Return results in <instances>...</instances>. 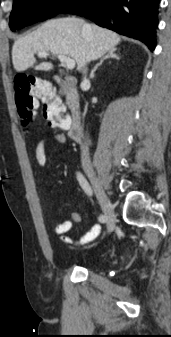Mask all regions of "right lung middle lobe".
<instances>
[{
  "instance_id": "dd1d6c3e",
  "label": "right lung middle lobe",
  "mask_w": 171,
  "mask_h": 337,
  "mask_svg": "<svg viewBox=\"0 0 171 337\" xmlns=\"http://www.w3.org/2000/svg\"><path fill=\"white\" fill-rule=\"evenodd\" d=\"M76 0H13L9 26L12 31L57 15Z\"/></svg>"
}]
</instances>
